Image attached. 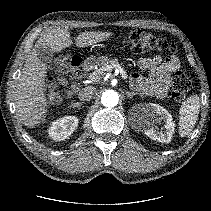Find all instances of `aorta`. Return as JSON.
I'll list each match as a JSON object with an SVG mask.
<instances>
[{"label":"aorta","instance_id":"1","mask_svg":"<svg viewBox=\"0 0 211 211\" xmlns=\"http://www.w3.org/2000/svg\"><path fill=\"white\" fill-rule=\"evenodd\" d=\"M101 103L105 107H115L119 103V95L114 90H106L102 93Z\"/></svg>","mask_w":211,"mask_h":211}]
</instances>
